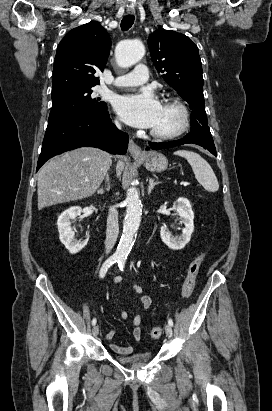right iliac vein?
Returning a JSON list of instances; mask_svg holds the SVG:
<instances>
[{
	"mask_svg": "<svg viewBox=\"0 0 272 411\" xmlns=\"http://www.w3.org/2000/svg\"><path fill=\"white\" fill-rule=\"evenodd\" d=\"M92 333H93L94 336H97V335H98V333H99V327H98L97 325L93 327Z\"/></svg>",
	"mask_w": 272,
	"mask_h": 411,
	"instance_id": "obj_1",
	"label": "right iliac vein"
}]
</instances>
